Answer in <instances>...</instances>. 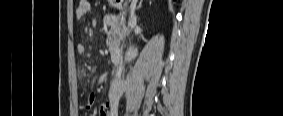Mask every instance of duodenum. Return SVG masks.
<instances>
[{
	"mask_svg": "<svg viewBox=\"0 0 283 116\" xmlns=\"http://www.w3.org/2000/svg\"><path fill=\"white\" fill-rule=\"evenodd\" d=\"M117 8L119 10H122L123 7L122 6H117ZM127 57L125 55V53L119 49H116L112 52V60L114 63H116L117 65H120L122 63H124V61H126ZM124 85L123 80L120 77H116L111 85V90L114 91L116 88H120Z\"/></svg>",
	"mask_w": 283,
	"mask_h": 116,
	"instance_id": "1",
	"label": "duodenum"
}]
</instances>
